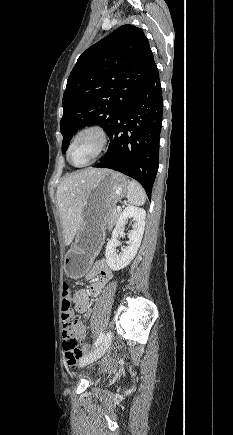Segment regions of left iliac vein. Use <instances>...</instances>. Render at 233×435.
Returning a JSON list of instances; mask_svg holds the SVG:
<instances>
[{"instance_id":"obj_1","label":"left iliac vein","mask_w":233,"mask_h":435,"mask_svg":"<svg viewBox=\"0 0 233 435\" xmlns=\"http://www.w3.org/2000/svg\"><path fill=\"white\" fill-rule=\"evenodd\" d=\"M111 340H112V333L111 331H108L103 341L99 344V346L80 360L79 363L80 367L91 364L94 361L98 360L100 357H102L104 353L107 351L111 343Z\"/></svg>"}]
</instances>
